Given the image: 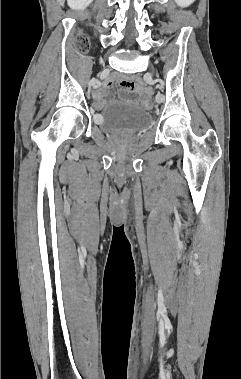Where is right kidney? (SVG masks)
<instances>
[{
  "instance_id": "right-kidney-1",
  "label": "right kidney",
  "mask_w": 241,
  "mask_h": 379,
  "mask_svg": "<svg viewBox=\"0 0 241 379\" xmlns=\"http://www.w3.org/2000/svg\"><path fill=\"white\" fill-rule=\"evenodd\" d=\"M93 0H67L68 6L73 10L85 9Z\"/></svg>"
}]
</instances>
